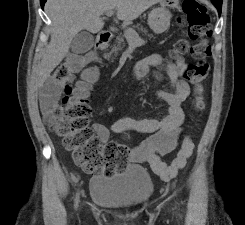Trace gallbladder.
Here are the masks:
<instances>
[{"label": "gallbladder", "mask_w": 245, "mask_h": 225, "mask_svg": "<svg viewBox=\"0 0 245 225\" xmlns=\"http://www.w3.org/2000/svg\"><path fill=\"white\" fill-rule=\"evenodd\" d=\"M94 45V37L87 31H81L73 38L71 42V50L75 54H84Z\"/></svg>", "instance_id": "gallbladder-1"}]
</instances>
